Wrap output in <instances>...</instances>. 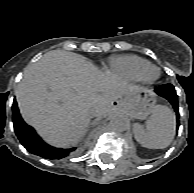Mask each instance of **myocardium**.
Returning <instances> with one entry per match:
<instances>
[{
    "instance_id": "f54148a6",
    "label": "myocardium",
    "mask_w": 194,
    "mask_h": 193,
    "mask_svg": "<svg viewBox=\"0 0 194 193\" xmlns=\"http://www.w3.org/2000/svg\"><path fill=\"white\" fill-rule=\"evenodd\" d=\"M150 70H155L156 74L154 76H149L148 73ZM160 74H161L160 68L150 63L141 70L140 72L141 81L147 84H152L159 79Z\"/></svg>"
}]
</instances>
